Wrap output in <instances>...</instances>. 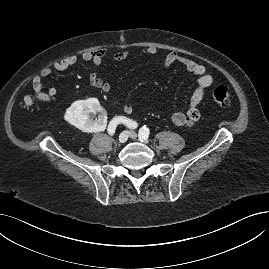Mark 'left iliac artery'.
Wrapping results in <instances>:
<instances>
[{
  "mask_svg": "<svg viewBox=\"0 0 269 269\" xmlns=\"http://www.w3.org/2000/svg\"><path fill=\"white\" fill-rule=\"evenodd\" d=\"M149 136V129L146 126H143L139 130V139L140 141H147Z\"/></svg>",
  "mask_w": 269,
  "mask_h": 269,
  "instance_id": "obj_1",
  "label": "left iliac artery"
}]
</instances>
